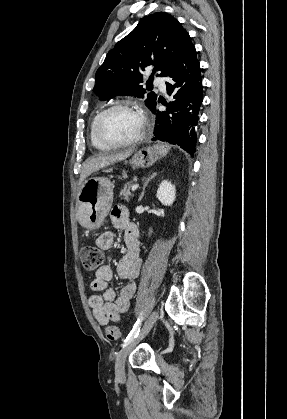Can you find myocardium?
I'll list each match as a JSON object with an SVG mask.
<instances>
[{
	"instance_id": "f54148a6",
	"label": "myocardium",
	"mask_w": 287,
	"mask_h": 419,
	"mask_svg": "<svg viewBox=\"0 0 287 419\" xmlns=\"http://www.w3.org/2000/svg\"><path fill=\"white\" fill-rule=\"evenodd\" d=\"M132 109L135 110L139 113L141 120H142V126L141 129L139 131V133L128 140H123V141H114V140H110L108 138H106L104 136V134L102 133V125L103 122L105 120V118L108 116V114H110L112 111L117 110V109ZM147 126H148V121L146 116L144 115V113L138 108L136 107L133 103L129 102V101H119L116 102L112 105H110L109 107L105 108L104 110L101 111V113L99 114L97 120H96V124H95V134L97 139L105 146L114 148V147H123V146H129V145H133L136 144L138 142H140L146 135L147 133Z\"/></svg>"
}]
</instances>
